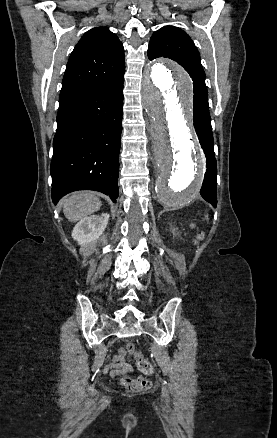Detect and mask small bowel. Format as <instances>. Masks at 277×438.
<instances>
[{"label": "small bowel", "mask_w": 277, "mask_h": 438, "mask_svg": "<svg viewBox=\"0 0 277 438\" xmlns=\"http://www.w3.org/2000/svg\"><path fill=\"white\" fill-rule=\"evenodd\" d=\"M107 370L110 372L112 377H118L131 373L133 368L126 360L124 351L120 350L118 355H116L108 364Z\"/></svg>", "instance_id": "small-bowel-1"}]
</instances>
